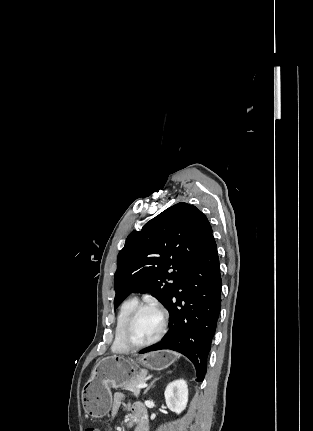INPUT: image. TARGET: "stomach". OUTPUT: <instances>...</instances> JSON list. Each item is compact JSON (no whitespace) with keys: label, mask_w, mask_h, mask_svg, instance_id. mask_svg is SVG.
I'll use <instances>...</instances> for the list:
<instances>
[{"label":"stomach","mask_w":313,"mask_h":431,"mask_svg":"<svg viewBox=\"0 0 313 431\" xmlns=\"http://www.w3.org/2000/svg\"><path fill=\"white\" fill-rule=\"evenodd\" d=\"M176 360L177 355L172 352H151L136 359L116 355L102 358L82 389V403L87 414L92 418L105 416L112 405L111 388L129 382L140 373L146 374V368L163 370Z\"/></svg>","instance_id":"1"}]
</instances>
